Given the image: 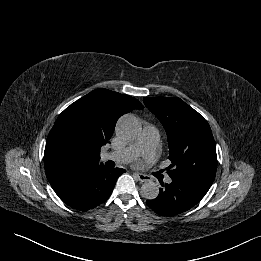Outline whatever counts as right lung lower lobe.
<instances>
[{
    "mask_svg": "<svg viewBox=\"0 0 261 261\" xmlns=\"http://www.w3.org/2000/svg\"><path fill=\"white\" fill-rule=\"evenodd\" d=\"M124 172L121 168L110 169L98 164L66 174L50 184L65 204L86 212L107 200L117 178Z\"/></svg>",
    "mask_w": 261,
    "mask_h": 261,
    "instance_id": "right-lung-lower-lobe-1",
    "label": "right lung lower lobe"
}]
</instances>
